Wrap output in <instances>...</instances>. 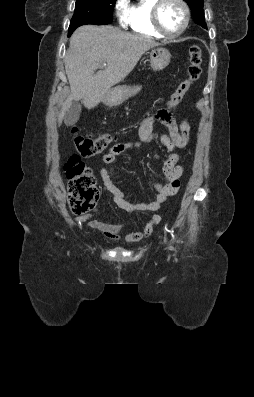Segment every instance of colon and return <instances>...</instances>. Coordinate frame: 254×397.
Instances as JSON below:
<instances>
[{
	"label": "colon",
	"instance_id": "obj_1",
	"mask_svg": "<svg viewBox=\"0 0 254 397\" xmlns=\"http://www.w3.org/2000/svg\"><path fill=\"white\" fill-rule=\"evenodd\" d=\"M201 63L202 52L200 47L197 45L191 46L186 77L171 94L167 102L168 108L177 107L200 78ZM72 134L78 154L72 155L65 165L68 180V203L74 214H82L94 208L99 200L100 192L91 168L81 161V157H92L103 152L111 144L112 136L107 133L97 137L84 136L78 133L77 128L72 129Z\"/></svg>",
	"mask_w": 254,
	"mask_h": 397
}]
</instances>
